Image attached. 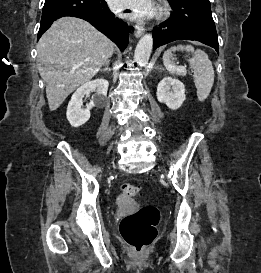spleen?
Instances as JSON below:
<instances>
[{"instance_id":"3e777b00","label":"spleen","mask_w":261,"mask_h":273,"mask_svg":"<svg viewBox=\"0 0 261 273\" xmlns=\"http://www.w3.org/2000/svg\"><path fill=\"white\" fill-rule=\"evenodd\" d=\"M186 51L192 54L188 59L190 68L193 70V79L197 89V98L199 101H205L209 96L214 83V68L208 55L201 49H194L192 45L173 46L163 54V63L165 68L172 74L177 76H185L186 68L177 66L174 63L176 57L174 52Z\"/></svg>"}]
</instances>
